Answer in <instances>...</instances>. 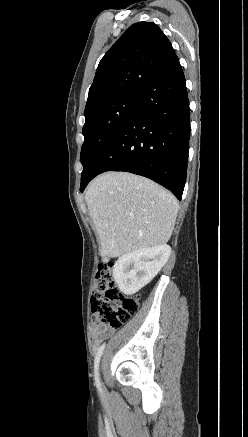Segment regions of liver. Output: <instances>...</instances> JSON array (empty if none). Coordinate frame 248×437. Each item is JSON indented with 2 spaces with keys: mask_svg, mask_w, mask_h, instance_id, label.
Segmentation results:
<instances>
[{
  "mask_svg": "<svg viewBox=\"0 0 248 437\" xmlns=\"http://www.w3.org/2000/svg\"><path fill=\"white\" fill-rule=\"evenodd\" d=\"M85 200L103 258L167 243L179 210L170 192L126 172L96 177L86 189Z\"/></svg>",
  "mask_w": 248,
  "mask_h": 437,
  "instance_id": "6515ba94",
  "label": "liver"
}]
</instances>
